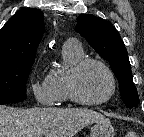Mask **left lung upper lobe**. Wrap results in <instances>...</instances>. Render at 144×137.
Segmentation results:
<instances>
[{
  "mask_svg": "<svg viewBox=\"0 0 144 137\" xmlns=\"http://www.w3.org/2000/svg\"><path fill=\"white\" fill-rule=\"evenodd\" d=\"M77 30L101 57L110 62L125 105L128 108L136 107L139 97L133 83L128 53L115 27L109 21L87 14L77 18Z\"/></svg>",
  "mask_w": 144,
  "mask_h": 137,
  "instance_id": "obj_1",
  "label": "left lung upper lobe"
}]
</instances>
